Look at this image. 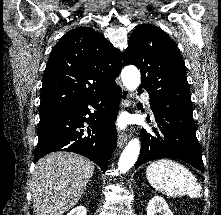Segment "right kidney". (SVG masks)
I'll return each mask as SVG.
<instances>
[{"instance_id":"1","label":"right kidney","mask_w":221,"mask_h":215,"mask_svg":"<svg viewBox=\"0 0 221 215\" xmlns=\"http://www.w3.org/2000/svg\"><path fill=\"white\" fill-rule=\"evenodd\" d=\"M67 215H87L86 208L84 206H77L72 209Z\"/></svg>"}]
</instances>
